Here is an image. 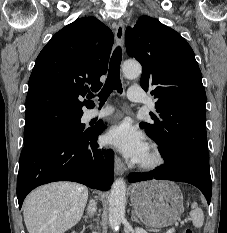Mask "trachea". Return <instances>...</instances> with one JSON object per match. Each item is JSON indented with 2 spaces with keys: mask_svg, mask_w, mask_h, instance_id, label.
Wrapping results in <instances>:
<instances>
[{
  "mask_svg": "<svg viewBox=\"0 0 227 233\" xmlns=\"http://www.w3.org/2000/svg\"><path fill=\"white\" fill-rule=\"evenodd\" d=\"M120 65H121V48L117 47L110 60L109 72L106 82L99 93L100 105H103L113 90L122 93V84L120 80ZM94 95L91 94V97Z\"/></svg>",
  "mask_w": 227,
  "mask_h": 233,
  "instance_id": "obj_1",
  "label": "trachea"
}]
</instances>
